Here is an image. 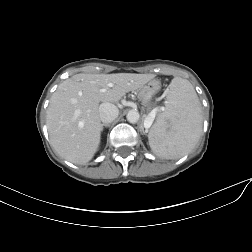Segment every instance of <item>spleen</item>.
<instances>
[{
  "mask_svg": "<svg viewBox=\"0 0 252 252\" xmlns=\"http://www.w3.org/2000/svg\"><path fill=\"white\" fill-rule=\"evenodd\" d=\"M203 125L202 109L192 84L175 77L168 88L165 110L148 135L153 153L164 159L186 155L198 142Z\"/></svg>",
  "mask_w": 252,
  "mask_h": 252,
  "instance_id": "spleen-1",
  "label": "spleen"
}]
</instances>
